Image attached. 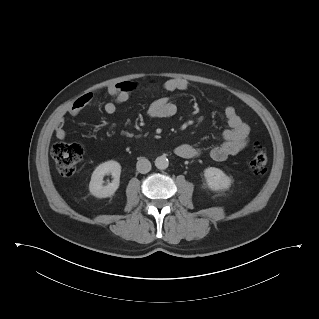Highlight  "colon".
<instances>
[{
    "instance_id": "1",
    "label": "colon",
    "mask_w": 319,
    "mask_h": 319,
    "mask_svg": "<svg viewBox=\"0 0 319 319\" xmlns=\"http://www.w3.org/2000/svg\"><path fill=\"white\" fill-rule=\"evenodd\" d=\"M52 158L58 172L64 177L75 174L83 157V150L78 144L59 142L52 147ZM268 156L260 145L252 150L250 166L256 174H264L267 170Z\"/></svg>"
}]
</instances>
